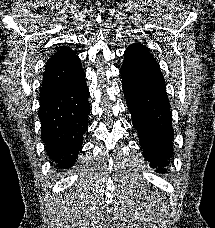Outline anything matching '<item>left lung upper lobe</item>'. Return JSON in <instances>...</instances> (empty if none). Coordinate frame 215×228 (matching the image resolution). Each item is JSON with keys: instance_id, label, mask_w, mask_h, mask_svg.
I'll list each match as a JSON object with an SVG mask.
<instances>
[{"instance_id": "left-lung-upper-lobe-1", "label": "left lung upper lobe", "mask_w": 215, "mask_h": 228, "mask_svg": "<svg viewBox=\"0 0 215 228\" xmlns=\"http://www.w3.org/2000/svg\"><path fill=\"white\" fill-rule=\"evenodd\" d=\"M128 49H138V50H145V51L148 50L147 47H145V46H143V45H141V44H133V45H130V46L128 47Z\"/></svg>"}]
</instances>
